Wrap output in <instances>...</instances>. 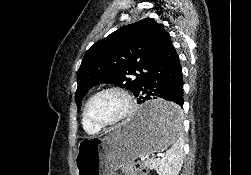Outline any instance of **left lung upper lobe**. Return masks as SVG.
<instances>
[{"label":"left lung upper lobe","mask_w":251,"mask_h":175,"mask_svg":"<svg viewBox=\"0 0 251 175\" xmlns=\"http://www.w3.org/2000/svg\"><path fill=\"white\" fill-rule=\"evenodd\" d=\"M169 38L163 24L146 18L96 42L85 53L77 72L78 110L86 93L101 83H114L135 93L146 74L143 70L148 71Z\"/></svg>","instance_id":"obj_1"}]
</instances>
